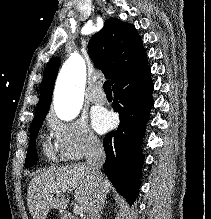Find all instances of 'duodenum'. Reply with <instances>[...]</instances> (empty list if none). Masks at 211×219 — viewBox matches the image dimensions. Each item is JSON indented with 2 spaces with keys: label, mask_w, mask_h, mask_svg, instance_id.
<instances>
[{
  "label": "duodenum",
  "mask_w": 211,
  "mask_h": 219,
  "mask_svg": "<svg viewBox=\"0 0 211 219\" xmlns=\"http://www.w3.org/2000/svg\"><path fill=\"white\" fill-rule=\"evenodd\" d=\"M60 214H61V219H74L71 213L68 212L67 210H61Z\"/></svg>",
  "instance_id": "duodenum-1"
}]
</instances>
